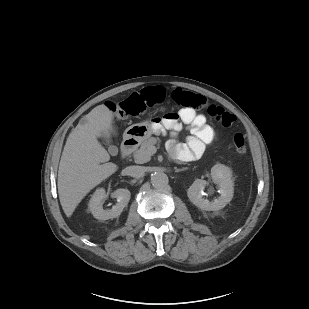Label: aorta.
I'll use <instances>...</instances> for the list:
<instances>
[{"instance_id": "762f6f07", "label": "aorta", "mask_w": 309, "mask_h": 309, "mask_svg": "<svg viewBox=\"0 0 309 309\" xmlns=\"http://www.w3.org/2000/svg\"><path fill=\"white\" fill-rule=\"evenodd\" d=\"M168 176L163 172H155L151 176V183L155 188L162 189L168 185Z\"/></svg>"}]
</instances>
